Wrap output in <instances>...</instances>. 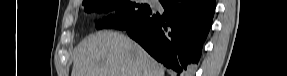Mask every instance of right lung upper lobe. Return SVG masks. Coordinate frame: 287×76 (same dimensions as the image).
Returning <instances> with one entry per match:
<instances>
[{"instance_id": "right-lung-upper-lobe-1", "label": "right lung upper lobe", "mask_w": 287, "mask_h": 76, "mask_svg": "<svg viewBox=\"0 0 287 76\" xmlns=\"http://www.w3.org/2000/svg\"><path fill=\"white\" fill-rule=\"evenodd\" d=\"M86 1H88V0H83V3L86 2Z\"/></svg>"}]
</instances>
